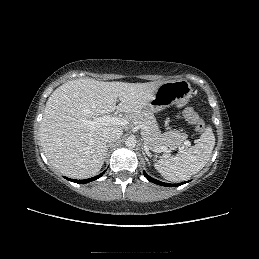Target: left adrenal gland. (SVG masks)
Listing matches in <instances>:
<instances>
[{
	"instance_id": "obj_1",
	"label": "left adrenal gland",
	"mask_w": 259,
	"mask_h": 259,
	"mask_svg": "<svg viewBox=\"0 0 259 259\" xmlns=\"http://www.w3.org/2000/svg\"><path fill=\"white\" fill-rule=\"evenodd\" d=\"M142 154L144 155V158H145V160L147 161V163L150 165L149 159H148V157L146 156V154H145V152H144V149L142 150Z\"/></svg>"
}]
</instances>
